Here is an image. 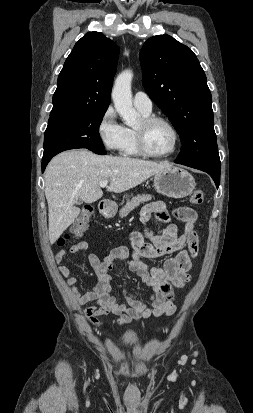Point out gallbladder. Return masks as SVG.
I'll return each instance as SVG.
<instances>
[{"mask_svg":"<svg viewBox=\"0 0 253 413\" xmlns=\"http://www.w3.org/2000/svg\"><path fill=\"white\" fill-rule=\"evenodd\" d=\"M81 203H82V200L77 199L76 204H81Z\"/></svg>","mask_w":253,"mask_h":413,"instance_id":"gallbladder-1","label":"gallbladder"}]
</instances>
